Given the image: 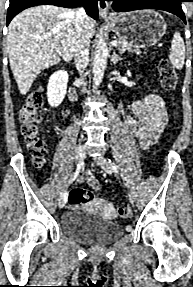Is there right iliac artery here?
I'll return each instance as SVG.
<instances>
[{"label":"right iliac artery","instance_id":"right-iliac-artery-1","mask_svg":"<svg viewBox=\"0 0 193 287\" xmlns=\"http://www.w3.org/2000/svg\"><path fill=\"white\" fill-rule=\"evenodd\" d=\"M82 167H83V162L77 165L76 171L74 172V174L71 176L69 180V184H71L78 177Z\"/></svg>","mask_w":193,"mask_h":287}]
</instances>
